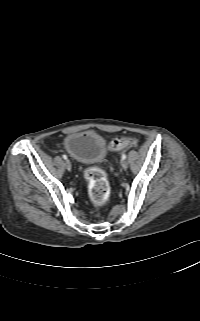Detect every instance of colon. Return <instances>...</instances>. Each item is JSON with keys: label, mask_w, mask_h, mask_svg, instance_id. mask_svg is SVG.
Returning a JSON list of instances; mask_svg holds the SVG:
<instances>
[{"label": "colon", "mask_w": 200, "mask_h": 321, "mask_svg": "<svg viewBox=\"0 0 200 321\" xmlns=\"http://www.w3.org/2000/svg\"><path fill=\"white\" fill-rule=\"evenodd\" d=\"M135 144L132 138H115L111 142V149L121 151ZM85 178L88 182L89 196L95 205H104L110 196V185L105 173L97 168L91 167L86 170Z\"/></svg>", "instance_id": "colon-1"}]
</instances>
